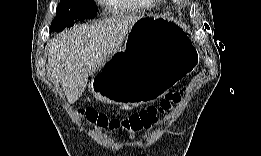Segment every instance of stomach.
<instances>
[{
    "mask_svg": "<svg viewBox=\"0 0 261 156\" xmlns=\"http://www.w3.org/2000/svg\"><path fill=\"white\" fill-rule=\"evenodd\" d=\"M162 40V53L138 68L122 63L114 72L94 77L90 88L100 100L122 106L146 104L162 97L197 64L198 54L183 26L169 18L144 17L129 31L115 59L131 56L153 40ZM102 74V72L100 73Z\"/></svg>",
    "mask_w": 261,
    "mask_h": 156,
    "instance_id": "1",
    "label": "stomach"
}]
</instances>
